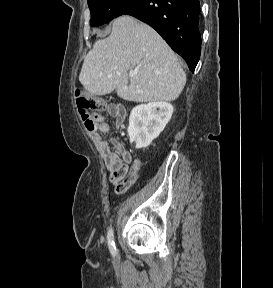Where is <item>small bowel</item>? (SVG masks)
Here are the masks:
<instances>
[{"mask_svg":"<svg viewBox=\"0 0 273 288\" xmlns=\"http://www.w3.org/2000/svg\"><path fill=\"white\" fill-rule=\"evenodd\" d=\"M109 116L116 121L117 127H121L126 119V110L122 105L110 104L106 109ZM97 127L91 132L92 139L104 160L109 171V181L115 186L117 194L125 193L139 177L141 161L134 158L125 146L116 138L111 139V144L105 141L101 134L109 131V124L103 116L97 115Z\"/></svg>","mask_w":273,"mask_h":288,"instance_id":"small-bowel-1","label":"small bowel"}]
</instances>
